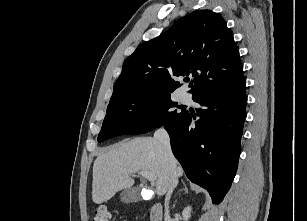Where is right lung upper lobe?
<instances>
[{"label": "right lung upper lobe", "mask_w": 307, "mask_h": 221, "mask_svg": "<svg viewBox=\"0 0 307 221\" xmlns=\"http://www.w3.org/2000/svg\"><path fill=\"white\" fill-rule=\"evenodd\" d=\"M190 74L193 98L245 81L232 32L211 10L194 11L139 45L124 61L109 104L135 94H170L181 86L173 78Z\"/></svg>", "instance_id": "right-lung-upper-lobe-1"}]
</instances>
